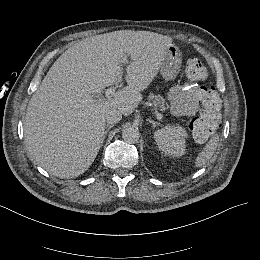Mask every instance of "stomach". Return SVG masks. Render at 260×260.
Wrapping results in <instances>:
<instances>
[{"label": "stomach", "mask_w": 260, "mask_h": 260, "mask_svg": "<svg viewBox=\"0 0 260 260\" xmlns=\"http://www.w3.org/2000/svg\"><path fill=\"white\" fill-rule=\"evenodd\" d=\"M161 52L163 56L160 73L165 81H173L180 72L183 50L171 42H166L162 45Z\"/></svg>", "instance_id": "1"}]
</instances>
